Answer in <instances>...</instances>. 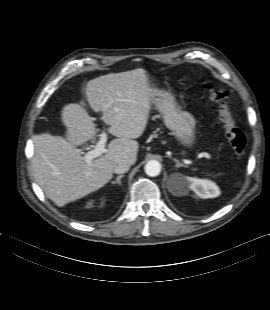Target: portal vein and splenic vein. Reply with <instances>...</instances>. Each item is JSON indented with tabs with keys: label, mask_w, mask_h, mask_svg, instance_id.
I'll return each mask as SVG.
<instances>
[{
	"label": "portal vein and splenic vein",
	"mask_w": 270,
	"mask_h": 310,
	"mask_svg": "<svg viewBox=\"0 0 270 310\" xmlns=\"http://www.w3.org/2000/svg\"><path fill=\"white\" fill-rule=\"evenodd\" d=\"M107 107H105L106 109ZM105 109L103 111H105ZM107 142V134L105 131H103L100 134V139L99 141L96 143L95 147L93 150L88 151L85 155H84V160L85 162H87L89 165L91 164L92 160L94 158H97L99 156H101L104 152H105V145ZM201 157H205L207 159H211L210 154L206 153V152H202L200 153Z\"/></svg>",
	"instance_id": "1"
}]
</instances>
